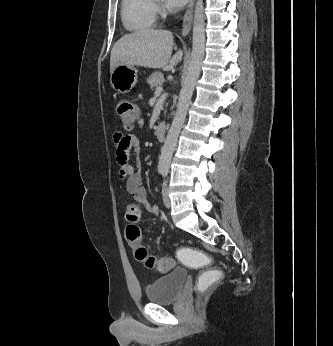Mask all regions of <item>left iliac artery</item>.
<instances>
[{
	"instance_id": "left-iliac-artery-1",
	"label": "left iliac artery",
	"mask_w": 333,
	"mask_h": 346,
	"mask_svg": "<svg viewBox=\"0 0 333 346\" xmlns=\"http://www.w3.org/2000/svg\"><path fill=\"white\" fill-rule=\"evenodd\" d=\"M167 174H168V170L165 169V170L163 171V175H164V176H167Z\"/></svg>"
}]
</instances>
